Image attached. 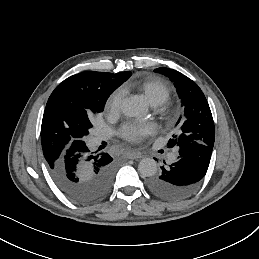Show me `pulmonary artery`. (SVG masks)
Here are the masks:
<instances>
[{
    "label": "pulmonary artery",
    "mask_w": 259,
    "mask_h": 259,
    "mask_svg": "<svg viewBox=\"0 0 259 259\" xmlns=\"http://www.w3.org/2000/svg\"><path fill=\"white\" fill-rule=\"evenodd\" d=\"M176 156H177V152L171 153V154L168 155L167 160L169 162H172L173 160L176 159Z\"/></svg>",
    "instance_id": "1"
}]
</instances>
